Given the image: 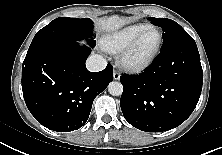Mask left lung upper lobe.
Returning <instances> with one entry per match:
<instances>
[{"label": "left lung upper lobe", "mask_w": 222, "mask_h": 155, "mask_svg": "<svg viewBox=\"0 0 222 155\" xmlns=\"http://www.w3.org/2000/svg\"><path fill=\"white\" fill-rule=\"evenodd\" d=\"M163 30V44L160 51L179 46H196L193 38L175 21L167 18H148Z\"/></svg>", "instance_id": "5c2ea615"}]
</instances>
